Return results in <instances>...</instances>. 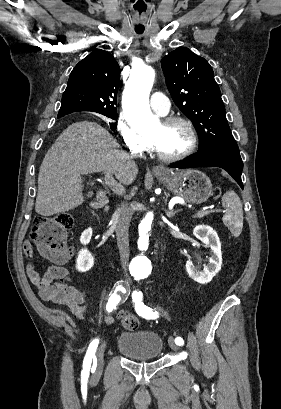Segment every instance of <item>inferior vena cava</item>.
Instances as JSON below:
<instances>
[{
	"mask_svg": "<svg viewBox=\"0 0 281 409\" xmlns=\"http://www.w3.org/2000/svg\"><path fill=\"white\" fill-rule=\"evenodd\" d=\"M131 215L128 211H121L116 219V237L120 253V261L124 271H127L129 261V225Z\"/></svg>",
	"mask_w": 281,
	"mask_h": 409,
	"instance_id": "1",
	"label": "inferior vena cava"
}]
</instances>
